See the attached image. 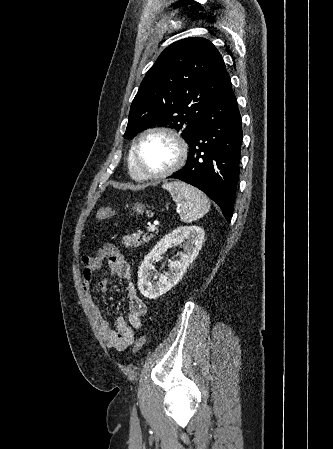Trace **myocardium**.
<instances>
[{
	"mask_svg": "<svg viewBox=\"0 0 333 449\" xmlns=\"http://www.w3.org/2000/svg\"><path fill=\"white\" fill-rule=\"evenodd\" d=\"M154 134L166 136L173 141L176 147V157L174 162L168 168L155 173H146L143 171L140 164V157H139L140 145L146 137ZM132 154L135 168L140 179L145 181L149 180L151 181L166 178L175 173L176 171H178L183 166V164L187 159L188 147L182 136L175 130L166 127L156 126L147 128L143 132H141V134L138 136L132 147Z\"/></svg>",
	"mask_w": 333,
	"mask_h": 449,
	"instance_id": "obj_1",
	"label": "myocardium"
}]
</instances>
